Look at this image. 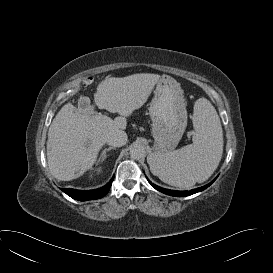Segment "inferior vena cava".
Listing matches in <instances>:
<instances>
[{
  "label": "inferior vena cava",
  "mask_w": 273,
  "mask_h": 273,
  "mask_svg": "<svg viewBox=\"0 0 273 273\" xmlns=\"http://www.w3.org/2000/svg\"><path fill=\"white\" fill-rule=\"evenodd\" d=\"M127 142V134L120 129L114 130L107 136V143L114 147H121Z\"/></svg>",
  "instance_id": "602c4592"
}]
</instances>
